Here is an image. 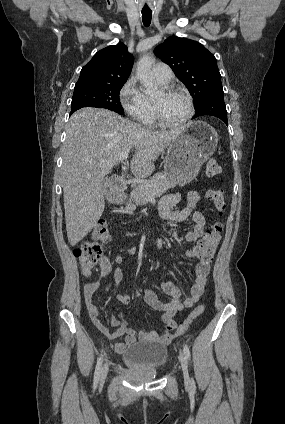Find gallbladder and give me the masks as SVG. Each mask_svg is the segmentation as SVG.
Instances as JSON below:
<instances>
[{"instance_id":"gallbladder-1","label":"gallbladder","mask_w":285,"mask_h":424,"mask_svg":"<svg viewBox=\"0 0 285 424\" xmlns=\"http://www.w3.org/2000/svg\"><path fill=\"white\" fill-rule=\"evenodd\" d=\"M107 184H108V180L104 179L103 182H102L103 188H106Z\"/></svg>"}]
</instances>
